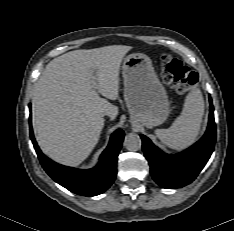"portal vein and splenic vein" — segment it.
<instances>
[{"mask_svg":"<svg viewBox=\"0 0 234 231\" xmlns=\"http://www.w3.org/2000/svg\"><path fill=\"white\" fill-rule=\"evenodd\" d=\"M91 84L94 89H97L98 85L97 82L94 80V78L91 79Z\"/></svg>","mask_w":234,"mask_h":231,"instance_id":"portal-vein-and-splenic-vein-1","label":"portal vein and splenic vein"}]
</instances>
